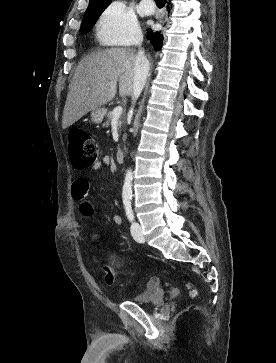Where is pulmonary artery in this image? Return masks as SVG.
<instances>
[{"label": "pulmonary artery", "instance_id": "obj_1", "mask_svg": "<svg viewBox=\"0 0 276 363\" xmlns=\"http://www.w3.org/2000/svg\"><path fill=\"white\" fill-rule=\"evenodd\" d=\"M141 7L144 14L150 15L154 12V8L150 5L148 0H143L141 2Z\"/></svg>", "mask_w": 276, "mask_h": 363}]
</instances>
